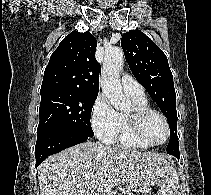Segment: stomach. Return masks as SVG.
<instances>
[{"instance_id":"stomach-1","label":"stomach","mask_w":211,"mask_h":195,"mask_svg":"<svg viewBox=\"0 0 211 195\" xmlns=\"http://www.w3.org/2000/svg\"><path fill=\"white\" fill-rule=\"evenodd\" d=\"M177 182L178 177L176 171L168 163V169L164 170V172L157 178L156 184L159 187V193L157 195H175L174 192Z\"/></svg>"}]
</instances>
